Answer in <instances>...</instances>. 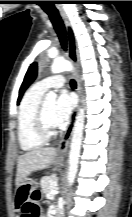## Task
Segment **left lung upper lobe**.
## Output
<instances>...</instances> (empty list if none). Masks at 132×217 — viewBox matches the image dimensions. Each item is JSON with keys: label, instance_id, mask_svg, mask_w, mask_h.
I'll return each instance as SVG.
<instances>
[{"label": "left lung upper lobe", "instance_id": "obj_1", "mask_svg": "<svg viewBox=\"0 0 132 217\" xmlns=\"http://www.w3.org/2000/svg\"><path fill=\"white\" fill-rule=\"evenodd\" d=\"M36 75H37V64L33 63V64H31V66L29 67V69L25 75L24 81H23L21 88H20V91H19V97H18L17 103L20 102V100L23 96V93L28 88V86L33 82Z\"/></svg>", "mask_w": 132, "mask_h": 217}]
</instances>
